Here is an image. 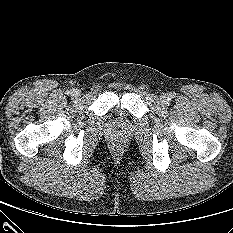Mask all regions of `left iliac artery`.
Listing matches in <instances>:
<instances>
[{
	"label": "left iliac artery",
	"mask_w": 233,
	"mask_h": 233,
	"mask_svg": "<svg viewBox=\"0 0 233 233\" xmlns=\"http://www.w3.org/2000/svg\"><path fill=\"white\" fill-rule=\"evenodd\" d=\"M170 97L174 98L175 97L174 93H170Z\"/></svg>",
	"instance_id": "obj_1"
}]
</instances>
